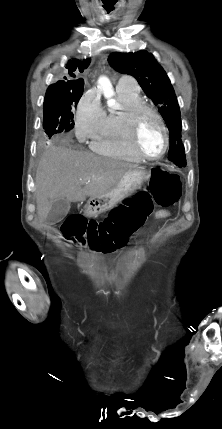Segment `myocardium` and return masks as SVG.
<instances>
[{
    "mask_svg": "<svg viewBox=\"0 0 222 429\" xmlns=\"http://www.w3.org/2000/svg\"><path fill=\"white\" fill-rule=\"evenodd\" d=\"M146 113L151 114L156 118L164 136V148L161 153L156 156H150L144 153L138 142V128L140 119ZM126 125L129 145L141 159L155 161L165 156L170 146V137L165 121L156 109L145 103L134 105L127 113Z\"/></svg>",
    "mask_w": 222,
    "mask_h": 429,
    "instance_id": "myocardium-1",
    "label": "myocardium"
}]
</instances>
